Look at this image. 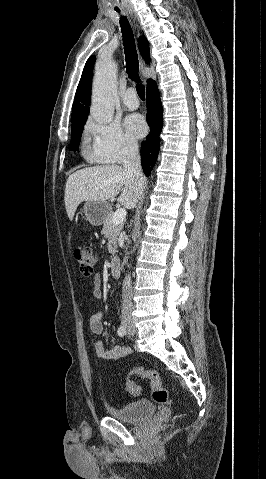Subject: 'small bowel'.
Instances as JSON below:
<instances>
[{"mask_svg":"<svg viewBox=\"0 0 266 479\" xmlns=\"http://www.w3.org/2000/svg\"><path fill=\"white\" fill-rule=\"evenodd\" d=\"M95 288L93 295L96 298L101 297L100 277L97 275L95 277ZM103 314L102 312L94 313L89 321L90 330L95 335L101 336L103 333ZM95 353L96 356L103 360H112L117 361L122 358H125L131 354V349L127 346L113 345L110 349H106L103 345L102 340H98L95 344Z\"/></svg>","mask_w":266,"mask_h":479,"instance_id":"obj_1","label":"small bowel"}]
</instances>
